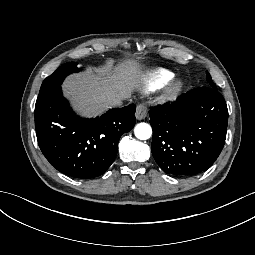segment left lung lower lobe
Wrapping results in <instances>:
<instances>
[{"instance_id":"left-lung-lower-lobe-1","label":"left lung lower lobe","mask_w":255,"mask_h":255,"mask_svg":"<svg viewBox=\"0 0 255 255\" xmlns=\"http://www.w3.org/2000/svg\"><path fill=\"white\" fill-rule=\"evenodd\" d=\"M151 151L165 173L194 176L207 170L221 153L228 109L217 88L193 89L174 103L150 109Z\"/></svg>"}]
</instances>
